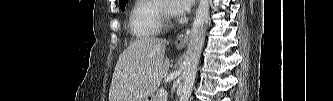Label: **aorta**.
Returning a JSON list of instances; mask_svg holds the SVG:
<instances>
[{
	"mask_svg": "<svg viewBox=\"0 0 333 101\" xmlns=\"http://www.w3.org/2000/svg\"><path fill=\"white\" fill-rule=\"evenodd\" d=\"M209 8V0H200L184 60L183 86L179 101H188L192 92L209 21Z\"/></svg>",
	"mask_w": 333,
	"mask_h": 101,
	"instance_id": "762f6f07",
	"label": "aorta"
}]
</instances>
